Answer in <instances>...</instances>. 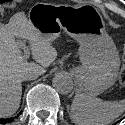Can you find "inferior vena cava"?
I'll use <instances>...</instances> for the list:
<instances>
[{
    "instance_id": "602c4592",
    "label": "inferior vena cava",
    "mask_w": 125,
    "mask_h": 125,
    "mask_svg": "<svg viewBox=\"0 0 125 125\" xmlns=\"http://www.w3.org/2000/svg\"><path fill=\"white\" fill-rule=\"evenodd\" d=\"M38 77V74L36 72H29L22 76V80H34Z\"/></svg>"
}]
</instances>
